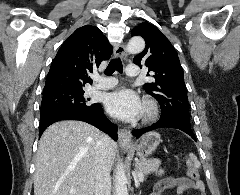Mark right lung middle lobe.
Instances as JSON below:
<instances>
[{"mask_svg":"<svg viewBox=\"0 0 240 195\" xmlns=\"http://www.w3.org/2000/svg\"><path fill=\"white\" fill-rule=\"evenodd\" d=\"M90 99L84 97L83 88L70 89L43 95L41 102V113L57 109L73 108H98L99 103H90Z\"/></svg>","mask_w":240,"mask_h":195,"instance_id":"dd1d6c3e","label":"right lung middle lobe"}]
</instances>
